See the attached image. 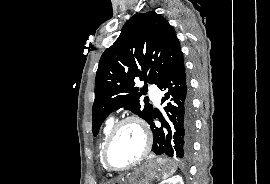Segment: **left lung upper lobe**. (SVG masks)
<instances>
[{"mask_svg":"<svg viewBox=\"0 0 270 184\" xmlns=\"http://www.w3.org/2000/svg\"><path fill=\"white\" fill-rule=\"evenodd\" d=\"M181 51L173 27L155 12L135 14L127 21L114 44L101 56L95 79L92 131L97 135L108 114L125 108L150 122L153 107H141L139 98L147 85L139 89V78L158 85Z\"/></svg>","mask_w":270,"mask_h":184,"instance_id":"1","label":"left lung upper lobe"}]
</instances>
